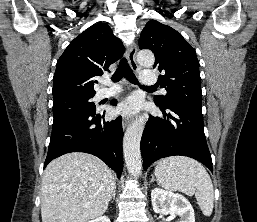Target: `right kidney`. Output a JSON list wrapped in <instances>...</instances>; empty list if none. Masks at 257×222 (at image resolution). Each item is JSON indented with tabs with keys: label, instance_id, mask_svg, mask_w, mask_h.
Returning <instances> with one entry per match:
<instances>
[{
	"label": "right kidney",
	"instance_id": "ca27d5eb",
	"mask_svg": "<svg viewBox=\"0 0 257 222\" xmlns=\"http://www.w3.org/2000/svg\"><path fill=\"white\" fill-rule=\"evenodd\" d=\"M88 222H110V219L107 216H101Z\"/></svg>",
	"mask_w": 257,
	"mask_h": 222
}]
</instances>
